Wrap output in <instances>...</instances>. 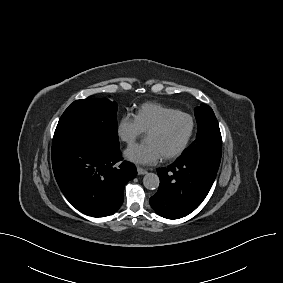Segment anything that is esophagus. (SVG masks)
I'll return each mask as SVG.
<instances>
[{
  "label": "esophagus",
  "mask_w": 283,
  "mask_h": 283,
  "mask_svg": "<svg viewBox=\"0 0 283 283\" xmlns=\"http://www.w3.org/2000/svg\"><path fill=\"white\" fill-rule=\"evenodd\" d=\"M137 173L138 175H144L147 173V171L141 167H137Z\"/></svg>",
  "instance_id": "esophagus-1"
}]
</instances>
